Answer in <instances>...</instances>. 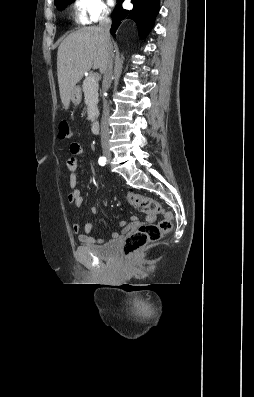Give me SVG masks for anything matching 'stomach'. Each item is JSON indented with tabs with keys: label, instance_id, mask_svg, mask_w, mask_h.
<instances>
[{
	"label": "stomach",
	"instance_id": "obj_1",
	"mask_svg": "<svg viewBox=\"0 0 254 397\" xmlns=\"http://www.w3.org/2000/svg\"><path fill=\"white\" fill-rule=\"evenodd\" d=\"M82 94L79 86H74L71 91V101L74 105H78L81 102Z\"/></svg>",
	"mask_w": 254,
	"mask_h": 397
}]
</instances>
